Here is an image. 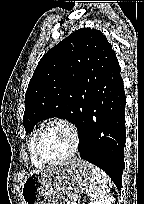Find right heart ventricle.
Listing matches in <instances>:
<instances>
[{"mask_svg":"<svg viewBox=\"0 0 144 204\" xmlns=\"http://www.w3.org/2000/svg\"><path fill=\"white\" fill-rule=\"evenodd\" d=\"M37 132V131H36ZM36 132H34V134L31 136L30 138V141H29V144H28V151H29V155H30V160L32 162V164L36 167H40L42 166L43 164H41L34 156L33 154V141H34V137H35V134Z\"/></svg>","mask_w":144,"mask_h":204,"instance_id":"e07e8e85","label":"right heart ventricle"}]
</instances>
